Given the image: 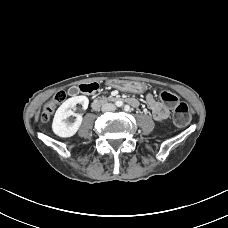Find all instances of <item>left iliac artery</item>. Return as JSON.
I'll return each mask as SVG.
<instances>
[{
  "label": "left iliac artery",
  "mask_w": 228,
  "mask_h": 228,
  "mask_svg": "<svg viewBox=\"0 0 228 228\" xmlns=\"http://www.w3.org/2000/svg\"><path fill=\"white\" fill-rule=\"evenodd\" d=\"M124 110H125V111H129V106L126 105V106L124 107Z\"/></svg>",
  "instance_id": "1"
}]
</instances>
